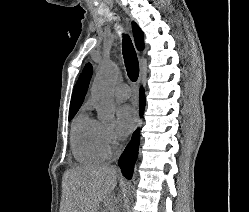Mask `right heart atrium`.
<instances>
[{"label": "right heart atrium", "mask_w": 249, "mask_h": 212, "mask_svg": "<svg viewBox=\"0 0 249 212\" xmlns=\"http://www.w3.org/2000/svg\"><path fill=\"white\" fill-rule=\"evenodd\" d=\"M98 142L102 152V158L109 160L116 152V138L109 128L100 125L98 132Z\"/></svg>", "instance_id": "1"}]
</instances>
